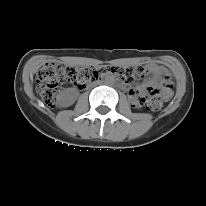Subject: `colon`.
<instances>
[{
    "instance_id": "colon-1",
    "label": "colon",
    "mask_w": 206,
    "mask_h": 206,
    "mask_svg": "<svg viewBox=\"0 0 206 206\" xmlns=\"http://www.w3.org/2000/svg\"><path fill=\"white\" fill-rule=\"evenodd\" d=\"M105 73L117 74L126 81H133L143 77L146 70L143 67H107L102 69L65 67L51 62L46 63L38 70L36 75V90L44 103L53 105L60 84L70 83L83 89L89 82L99 79ZM171 94L172 83L168 77H165L158 85H150L147 88V94L141 96L139 101L149 110L158 111L162 107V101L169 99Z\"/></svg>"
}]
</instances>
